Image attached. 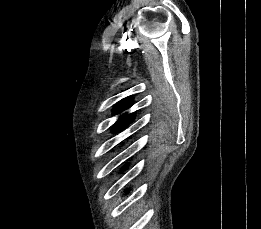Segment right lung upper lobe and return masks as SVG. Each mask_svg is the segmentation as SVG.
Returning <instances> with one entry per match:
<instances>
[{"instance_id": "right-lung-upper-lobe-1", "label": "right lung upper lobe", "mask_w": 261, "mask_h": 229, "mask_svg": "<svg viewBox=\"0 0 261 229\" xmlns=\"http://www.w3.org/2000/svg\"><path fill=\"white\" fill-rule=\"evenodd\" d=\"M132 105V100L130 97L125 98L121 100L115 110L114 113H120L121 111L129 108ZM134 114H125L123 115L116 123H115V131H120L124 127H126L132 120H133Z\"/></svg>"}]
</instances>
